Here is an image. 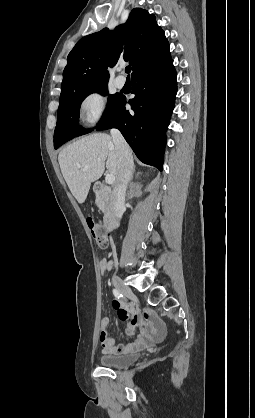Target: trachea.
<instances>
[{
	"label": "trachea",
	"mask_w": 255,
	"mask_h": 418,
	"mask_svg": "<svg viewBox=\"0 0 255 418\" xmlns=\"http://www.w3.org/2000/svg\"><path fill=\"white\" fill-rule=\"evenodd\" d=\"M125 72H126L127 74H129V73L131 72V67H130V66H127V67L125 68Z\"/></svg>",
	"instance_id": "1"
}]
</instances>
